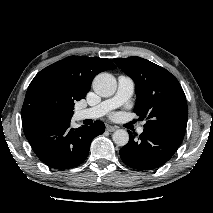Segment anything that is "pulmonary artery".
<instances>
[{"mask_svg":"<svg viewBox=\"0 0 213 213\" xmlns=\"http://www.w3.org/2000/svg\"><path fill=\"white\" fill-rule=\"evenodd\" d=\"M134 86L135 85L132 78L125 75L119 76L116 94L112 98L107 99L99 103L98 105L77 111L76 119L77 120L96 119L104 116L109 111L119 107L127 100H129L133 94ZM143 131H144L143 126L138 127L137 132L139 134L143 133Z\"/></svg>","mask_w":213,"mask_h":213,"instance_id":"1","label":"pulmonary artery"}]
</instances>
